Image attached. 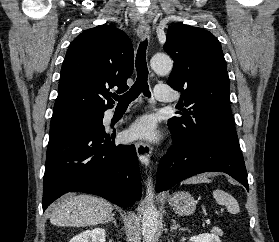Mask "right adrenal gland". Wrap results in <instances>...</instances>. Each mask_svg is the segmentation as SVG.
<instances>
[{
    "label": "right adrenal gland",
    "instance_id": "2a0ac1e0",
    "mask_svg": "<svg viewBox=\"0 0 279 242\" xmlns=\"http://www.w3.org/2000/svg\"><path fill=\"white\" fill-rule=\"evenodd\" d=\"M114 213L111 214V216L109 217V219H107L104 224L108 223L109 221H112L114 223L115 226H117V221L116 219L114 218Z\"/></svg>",
    "mask_w": 279,
    "mask_h": 242
}]
</instances>
